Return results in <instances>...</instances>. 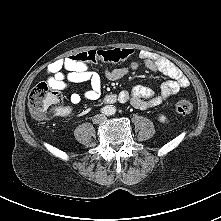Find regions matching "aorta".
Instances as JSON below:
<instances>
[{
    "mask_svg": "<svg viewBox=\"0 0 221 221\" xmlns=\"http://www.w3.org/2000/svg\"><path fill=\"white\" fill-rule=\"evenodd\" d=\"M106 111L109 115H113L116 112V108L113 105L107 106Z\"/></svg>",
    "mask_w": 221,
    "mask_h": 221,
    "instance_id": "1",
    "label": "aorta"
}]
</instances>
